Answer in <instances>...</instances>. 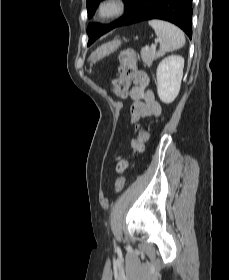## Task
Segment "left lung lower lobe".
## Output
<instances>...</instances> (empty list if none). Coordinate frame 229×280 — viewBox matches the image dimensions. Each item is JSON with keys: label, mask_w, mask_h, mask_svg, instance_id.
<instances>
[{"label": "left lung lower lobe", "mask_w": 229, "mask_h": 280, "mask_svg": "<svg viewBox=\"0 0 229 280\" xmlns=\"http://www.w3.org/2000/svg\"><path fill=\"white\" fill-rule=\"evenodd\" d=\"M150 19L174 23L192 38V0H135L115 27Z\"/></svg>", "instance_id": "0a47b994"}]
</instances>
